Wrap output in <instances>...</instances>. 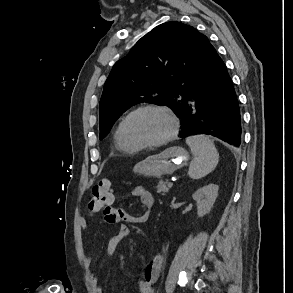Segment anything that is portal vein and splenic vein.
Returning <instances> with one entry per match:
<instances>
[{
    "label": "portal vein and splenic vein",
    "instance_id": "obj_1",
    "mask_svg": "<svg viewBox=\"0 0 293 293\" xmlns=\"http://www.w3.org/2000/svg\"><path fill=\"white\" fill-rule=\"evenodd\" d=\"M168 186L171 188V187H173V182H169L168 183Z\"/></svg>",
    "mask_w": 293,
    "mask_h": 293
}]
</instances>
